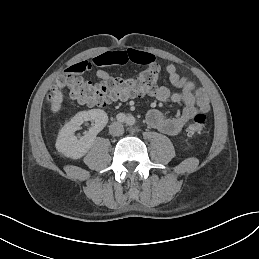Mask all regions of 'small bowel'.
Listing matches in <instances>:
<instances>
[{
  "instance_id": "small-bowel-1",
  "label": "small bowel",
  "mask_w": 259,
  "mask_h": 259,
  "mask_svg": "<svg viewBox=\"0 0 259 259\" xmlns=\"http://www.w3.org/2000/svg\"><path fill=\"white\" fill-rule=\"evenodd\" d=\"M155 58L148 52L139 50L109 51L102 53L91 60L77 62L71 65L67 71L71 73H84L93 68L105 67L110 65H124L130 62L150 65ZM166 72L170 83L178 88L176 92H171L166 86H159L152 95L159 101L171 100L174 103L184 104L182 113L176 117H166L158 109H151L147 112L146 120L149 126L167 135L178 134L187 122L195 118L198 114H206L210 110L209 95L203 88H196L195 84L179 75L175 65L169 64ZM99 79L106 80L110 77L104 69L95 72Z\"/></svg>"
}]
</instances>
